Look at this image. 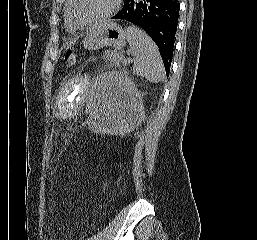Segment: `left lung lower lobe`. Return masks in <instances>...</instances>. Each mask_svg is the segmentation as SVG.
I'll list each match as a JSON object with an SVG mask.
<instances>
[{
  "instance_id": "obj_1",
  "label": "left lung lower lobe",
  "mask_w": 257,
  "mask_h": 240,
  "mask_svg": "<svg viewBox=\"0 0 257 240\" xmlns=\"http://www.w3.org/2000/svg\"><path fill=\"white\" fill-rule=\"evenodd\" d=\"M179 10V0H124L122 9L113 17L137 25L150 35L160 50L167 77L173 57Z\"/></svg>"
}]
</instances>
